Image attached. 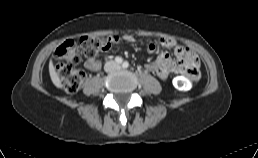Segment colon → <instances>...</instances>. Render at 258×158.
Wrapping results in <instances>:
<instances>
[{
  "label": "colon",
  "mask_w": 258,
  "mask_h": 158,
  "mask_svg": "<svg viewBox=\"0 0 258 158\" xmlns=\"http://www.w3.org/2000/svg\"><path fill=\"white\" fill-rule=\"evenodd\" d=\"M117 41L115 36H83L65 40L55 51L58 60L55 72L65 90L75 93L84 83L85 73L74 67L81 61V50L87 58H94L99 52L110 50ZM176 86L182 91H187L190 87L186 78H179Z\"/></svg>",
  "instance_id": "obj_1"
}]
</instances>
